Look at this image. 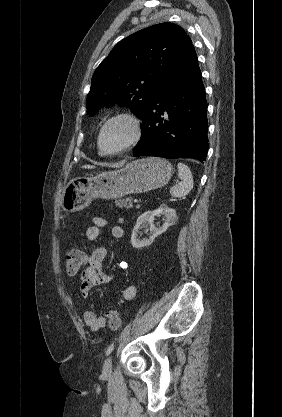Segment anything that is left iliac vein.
I'll return each instance as SVG.
<instances>
[{
  "label": "left iliac vein",
  "mask_w": 282,
  "mask_h": 417,
  "mask_svg": "<svg viewBox=\"0 0 282 417\" xmlns=\"http://www.w3.org/2000/svg\"><path fill=\"white\" fill-rule=\"evenodd\" d=\"M111 369H112V357H108L103 365V373L105 375H109L111 373Z\"/></svg>",
  "instance_id": "1"
}]
</instances>
